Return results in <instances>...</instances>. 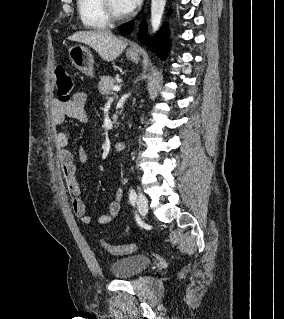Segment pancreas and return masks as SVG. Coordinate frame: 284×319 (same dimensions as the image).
<instances>
[{
  "mask_svg": "<svg viewBox=\"0 0 284 319\" xmlns=\"http://www.w3.org/2000/svg\"><path fill=\"white\" fill-rule=\"evenodd\" d=\"M117 83V80L110 76L100 77V82L98 83V91L101 95H110L113 93V87Z\"/></svg>",
  "mask_w": 284,
  "mask_h": 319,
  "instance_id": "1",
  "label": "pancreas"
}]
</instances>
